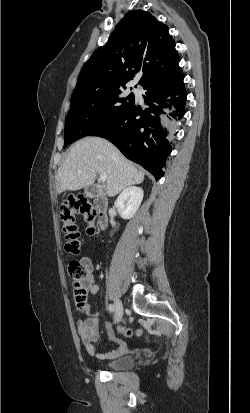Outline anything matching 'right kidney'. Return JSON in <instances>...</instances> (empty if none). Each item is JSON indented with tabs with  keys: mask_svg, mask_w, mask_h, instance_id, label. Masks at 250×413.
<instances>
[{
	"mask_svg": "<svg viewBox=\"0 0 250 413\" xmlns=\"http://www.w3.org/2000/svg\"><path fill=\"white\" fill-rule=\"evenodd\" d=\"M144 192L142 188L130 186L123 190L114 203L115 208L123 219H131L138 210Z\"/></svg>",
	"mask_w": 250,
	"mask_h": 413,
	"instance_id": "ca27d5eb",
	"label": "right kidney"
}]
</instances>
